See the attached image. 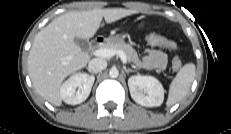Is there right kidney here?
Here are the masks:
<instances>
[{"label":"right kidney","mask_w":231,"mask_h":134,"mask_svg":"<svg viewBox=\"0 0 231 134\" xmlns=\"http://www.w3.org/2000/svg\"><path fill=\"white\" fill-rule=\"evenodd\" d=\"M94 81V76H90L86 73L72 75L60 88L62 100L71 105L82 103L89 96Z\"/></svg>","instance_id":"1"}]
</instances>
